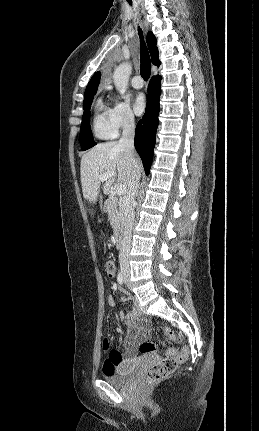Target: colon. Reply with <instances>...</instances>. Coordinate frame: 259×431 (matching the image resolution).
<instances>
[{
  "instance_id": "1",
  "label": "colon",
  "mask_w": 259,
  "mask_h": 431,
  "mask_svg": "<svg viewBox=\"0 0 259 431\" xmlns=\"http://www.w3.org/2000/svg\"><path fill=\"white\" fill-rule=\"evenodd\" d=\"M105 270L109 277H113L116 271L115 263L111 260L106 261ZM163 339L165 343L178 342L182 341V337L176 334L169 327L162 328ZM103 349L105 353H107L109 348L108 341H104ZM159 348L157 345L151 342H144L139 346V351L143 354L154 353L158 351ZM189 355V348L187 346H182L180 351L175 352L174 350H168L167 356L163 358L159 363L155 364L151 368H149L145 373V381L147 383H155L161 381L168 377L171 373H173L177 366L187 359Z\"/></svg>"
}]
</instances>
